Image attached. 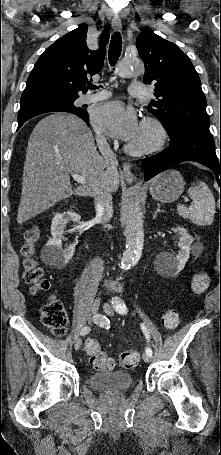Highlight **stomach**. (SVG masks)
<instances>
[{"label":"stomach","instance_id":"0dacf381","mask_svg":"<svg viewBox=\"0 0 221 455\" xmlns=\"http://www.w3.org/2000/svg\"><path fill=\"white\" fill-rule=\"evenodd\" d=\"M182 175L173 169L156 176L150 183L149 190L152 197L162 203H171L177 200L184 190Z\"/></svg>","mask_w":221,"mask_h":455}]
</instances>
